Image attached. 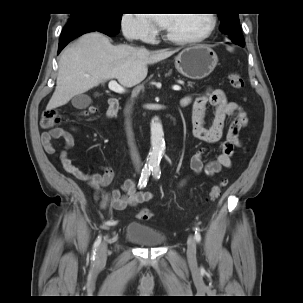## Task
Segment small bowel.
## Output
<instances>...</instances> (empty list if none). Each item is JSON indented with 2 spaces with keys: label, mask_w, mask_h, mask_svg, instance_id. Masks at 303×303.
<instances>
[{
  "label": "small bowel",
  "mask_w": 303,
  "mask_h": 303,
  "mask_svg": "<svg viewBox=\"0 0 303 303\" xmlns=\"http://www.w3.org/2000/svg\"><path fill=\"white\" fill-rule=\"evenodd\" d=\"M192 103V134L195 138L208 144H217L219 154L212 158H206L208 148L202 147L194 152L189 161L193 174L205 173L215 175L222 168H229L232 165V155L239 145V133L247 122V116L242 108L234 101H228L226 95L219 89H208L201 95L186 97L182 104ZM210 104L214 107V118L210 127H205L206 107ZM226 121L229 122V129L225 136L223 130ZM72 132L78 129L75 126L70 128ZM63 139L62 148L57 151L53 141ZM41 142L46 153L58 156L63 169L99 192L101 195V206L111 207L116 210H124L129 206H137L140 203L153 198L151 192L138 190L137 182L134 179H126L119 188L106 191L103 187L111 184L114 173L109 167H104L102 173L85 174L77 168L69 158V151L74 144L73 136L62 128H53L42 133ZM187 177L183 178L179 186H183Z\"/></svg>",
  "instance_id": "c3829d8e"
}]
</instances>
